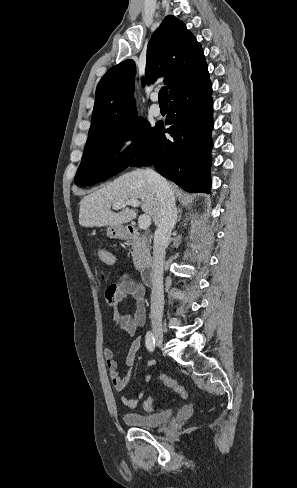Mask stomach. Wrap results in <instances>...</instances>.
Listing matches in <instances>:
<instances>
[{
    "mask_svg": "<svg viewBox=\"0 0 297 488\" xmlns=\"http://www.w3.org/2000/svg\"><path fill=\"white\" fill-rule=\"evenodd\" d=\"M107 235L110 238L125 240L128 238L127 229L124 226H109L107 229Z\"/></svg>",
    "mask_w": 297,
    "mask_h": 488,
    "instance_id": "1",
    "label": "stomach"
}]
</instances>
